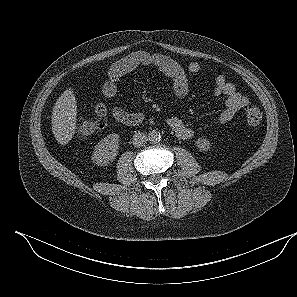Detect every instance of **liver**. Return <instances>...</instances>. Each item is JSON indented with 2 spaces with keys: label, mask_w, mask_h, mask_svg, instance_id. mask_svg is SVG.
Returning a JSON list of instances; mask_svg holds the SVG:
<instances>
[{
  "label": "liver",
  "mask_w": 297,
  "mask_h": 297,
  "mask_svg": "<svg viewBox=\"0 0 297 297\" xmlns=\"http://www.w3.org/2000/svg\"><path fill=\"white\" fill-rule=\"evenodd\" d=\"M77 101L72 89H66L57 99L51 117L52 132L61 145L68 144L75 132Z\"/></svg>",
  "instance_id": "liver-1"
}]
</instances>
